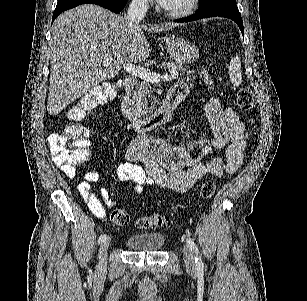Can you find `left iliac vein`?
<instances>
[{
    "mask_svg": "<svg viewBox=\"0 0 307 301\" xmlns=\"http://www.w3.org/2000/svg\"><path fill=\"white\" fill-rule=\"evenodd\" d=\"M184 261L188 268L193 269L195 266V258L192 250L188 246L183 247Z\"/></svg>",
    "mask_w": 307,
    "mask_h": 301,
    "instance_id": "obj_1",
    "label": "left iliac vein"
}]
</instances>
